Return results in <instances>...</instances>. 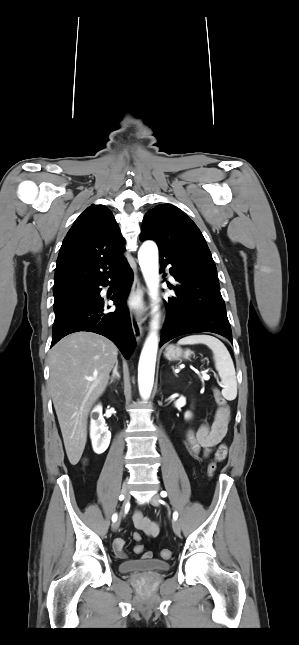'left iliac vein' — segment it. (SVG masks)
I'll return each mask as SVG.
<instances>
[{"label": "left iliac vein", "instance_id": "obj_1", "mask_svg": "<svg viewBox=\"0 0 299 645\" xmlns=\"http://www.w3.org/2000/svg\"><path fill=\"white\" fill-rule=\"evenodd\" d=\"M150 503H151L153 506H159V505H160V496H159L158 494L153 495V496L151 497V499H150ZM172 529H173L174 533H175L177 536H179V535H180V533H181V528H180V524H179V522H178L177 520H174V521L172 522Z\"/></svg>", "mask_w": 299, "mask_h": 645}]
</instances>
